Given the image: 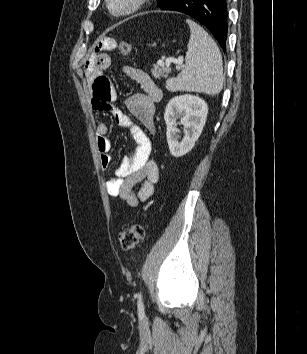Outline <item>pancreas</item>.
Listing matches in <instances>:
<instances>
[{
    "label": "pancreas",
    "mask_w": 307,
    "mask_h": 354,
    "mask_svg": "<svg viewBox=\"0 0 307 354\" xmlns=\"http://www.w3.org/2000/svg\"><path fill=\"white\" fill-rule=\"evenodd\" d=\"M151 72L156 79H160L161 77L166 78L170 70L168 67H165V65L161 66L159 63H157L154 65V68L151 70Z\"/></svg>",
    "instance_id": "obj_1"
}]
</instances>
